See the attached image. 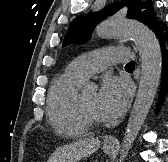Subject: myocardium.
Listing matches in <instances>:
<instances>
[{"label":"myocardium","instance_id":"myocardium-1","mask_svg":"<svg viewBox=\"0 0 168 162\" xmlns=\"http://www.w3.org/2000/svg\"><path fill=\"white\" fill-rule=\"evenodd\" d=\"M75 109H76V113L79 119L87 127H94V126L102 125V122L100 120H96L95 118L90 116V114L87 112L84 106V103H83L82 94H78L76 97Z\"/></svg>","mask_w":168,"mask_h":162}]
</instances>
